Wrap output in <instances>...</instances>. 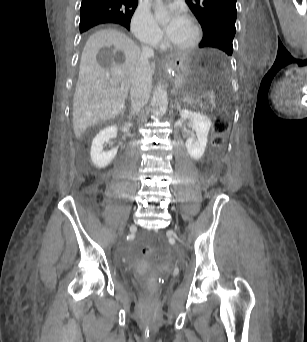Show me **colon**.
Wrapping results in <instances>:
<instances>
[{
    "instance_id": "colon-1",
    "label": "colon",
    "mask_w": 307,
    "mask_h": 342,
    "mask_svg": "<svg viewBox=\"0 0 307 342\" xmlns=\"http://www.w3.org/2000/svg\"><path fill=\"white\" fill-rule=\"evenodd\" d=\"M228 130V122L223 118H218L214 123V129L212 134V150L213 153L216 151L218 147L221 146L223 143V134H225ZM157 249L154 246H142L141 252L143 255L147 258H150L152 260H157L158 256L155 252Z\"/></svg>"
}]
</instances>
